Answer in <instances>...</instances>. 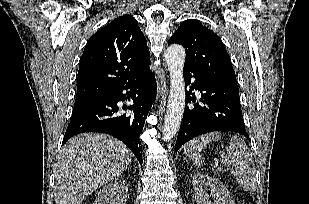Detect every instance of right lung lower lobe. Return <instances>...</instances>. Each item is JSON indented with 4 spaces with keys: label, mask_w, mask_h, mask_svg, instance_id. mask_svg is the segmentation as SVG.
<instances>
[{
    "label": "right lung lower lobe",
    "mask_w": 309,
    "mask_h": 204,
    "mask_svg": "<svg viewBox=\"0 0 309 204\" xmlns=\"http://www.w3.org/2000/svg\"><path fill=\"white\" fill-rule=\"evenodd\" d=\"M123 90H128L127 94H123ZM156 92L157 84L149 69L137 79L122 86L84 100L75 101L71 122L62 144L79 133H105L125 143L142 164V147L139 136ZM130 98L134 104L129 106V110H132L133 113H121L117 103ZM126 109L123 108V110Z\"/></svg>",
    "instance_id": "right-lung-lower-lobe-1"
}]
</instances>
